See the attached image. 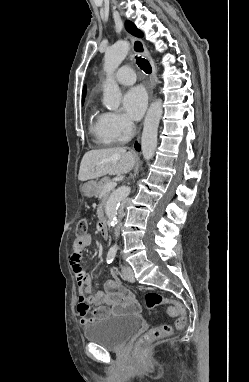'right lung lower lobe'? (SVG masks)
Instances as JSON below:
<instances>
[{"instance_id": "right-lung-lower-lobe-1", "label": "right lung lower lobe", "mask_w": 249, "mask_h": 382, "mask_svg": "<svg viewBox=\"0 0 249 382\" xmlns=\"http://www.w3.org/2000/svg\"><path fill=\"white\" fill-rule=\"evenodd\" d=\"M135 148L139 151L140 150V146L136 143L135 144Z\"/></svg>"}]
</instances>
